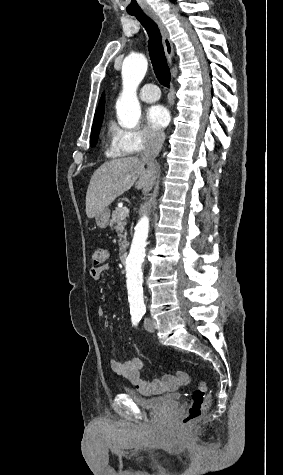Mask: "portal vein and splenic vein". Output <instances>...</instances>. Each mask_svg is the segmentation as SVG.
<instances>
[{
    "label": "portal vein and splenic vein",
    "instance_id": "portal-vein-and-splenic-vein-1",
    "mask_svg": "<svg viewBox=\"0 0 283 475\" xmlns=\"http://www.w3.org/2000/svg\"><path fill=\"white\" fill-rule=\"evenodd\" d=\"M124 212H125V214H129L128 208H124Z\"/></svg>",
    "mask_w": 283,
    "mask_h": 475
}]
</instances>
